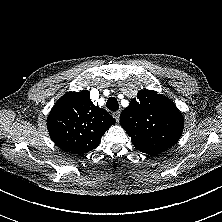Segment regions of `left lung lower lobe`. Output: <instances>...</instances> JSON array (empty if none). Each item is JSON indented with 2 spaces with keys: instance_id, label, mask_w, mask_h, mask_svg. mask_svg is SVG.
<instances>
[{
  "instance_id": "left-lung-lower-lobe-1",
  "label": "left lung lower lobe",
  "mask_w": 222,
  "mask_h": 222,
  "mask_svg": "<svg viewBox=\"0 0 222 222\" xmlns=\"http://www.w3.org/2000/svg\"><path fill=\"white\" fill-rule=\"evenodd\" d=\"M160 152H154V153H148V154H150V155H157V154H159Z\"/></svg>"
}]
</instances>
